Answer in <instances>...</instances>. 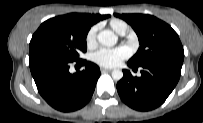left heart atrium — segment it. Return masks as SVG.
Listing matches in <instances>:
<instances>
[{
	"instance_id": "left-heart-atrium-1",
	"label": "left heart atrium",
	"mask_w": 203,
	"mask_h": 123,
	"mask_svg": "<svg viewBox=\"0 0 203 123\" xmlns=\"http://www.w3.org/2000/svg\"><path fill=\"white\" fill-rule=\"evenodd\" d=\"M130 56V50L125 46L115 48H100L93 54V60L103 67L118 66L123 60Z\"/></svg>"
}]
</instances>
